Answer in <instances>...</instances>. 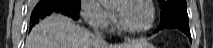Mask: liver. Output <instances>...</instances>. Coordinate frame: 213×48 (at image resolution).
<instances>
[{"mask_svg": "<svg viewBox=\"0 0 213 48\" xmlns=\"http://www.w3.org/2000/svg\"><path fill=\"white\" fill-rule=\"evenodd\" d=\"M149 45L146 40L109 45L100 42L72 19L52 14L40 21L26 38L25 48H137Z\"/></svg>", "mask_w": 213, "mask_h": 48, "instance_id": "liver-1", "label": "liver"}]
</instances>
